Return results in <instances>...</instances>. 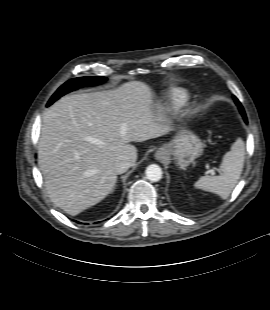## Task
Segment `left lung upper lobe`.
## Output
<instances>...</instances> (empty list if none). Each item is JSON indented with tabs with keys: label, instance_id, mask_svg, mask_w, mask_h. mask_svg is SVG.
<instances>
[{
	"label": "left lung upper lobe",
	"instance_id": "1",
	"mask_svg": "<svg viewBox=\"0 0 270 310\" xmlns=\"http://www.w3.org/2000/svg\"><path fill=\"white\" fill-rule=\"evenodd\" d=\"M234 100H235V103L237 104V106L239 107V110H240L244 120L246 121V115H245V112H244V109H243L241 103L238 101V99L236 97H234Z\"/></svg>",
	"mask_w": 270,
	"mask_h": 310
}]
</instances>
